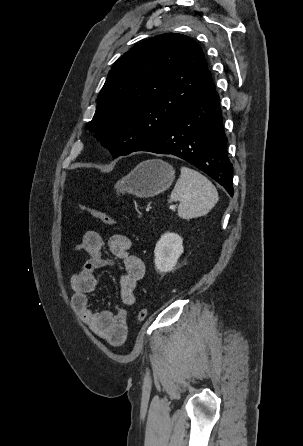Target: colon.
Masks as SVG:
<instances>
[{
	"instance_id": "obj_1",
	"label": "colon",
	"mask_w": 303,
	"mask_h": 446,
	"mask_svg": "<svg viewBox=\"0 0 303 446\" xmlns=\"http://www.w3.org/2000/svg\"><path fill=\"white\" fill-rule=\"evenodd\" d=\"M79 208L81 211L88 213L89 215L100 220L107 226L114 227L117 224L116 220L104 210L93 208L87 205H79ZM147 316H148V309L142 308L137 314V320L139 322H142L147 318Z\"/></svg>"
}]
</instances>
